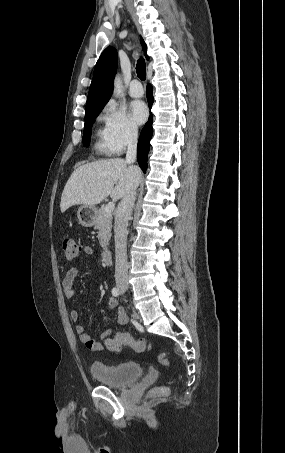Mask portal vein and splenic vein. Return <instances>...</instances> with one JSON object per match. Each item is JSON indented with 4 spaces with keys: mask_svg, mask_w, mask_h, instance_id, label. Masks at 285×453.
Wrapping results in <instances>:
<instances>
[{
    "mask_svg": "<svg viewBox=\"0 0 285 453\" xmlns=\"http://www.w3.org/2000/svg\"><path fill=\"white\" fill-rule=\"evenodd\" d=\"M114 207H115L114 202H109V203L105 206L104 210H105V212H107V213H111V212L114 210Z\"/></svg>",
    "mask_w": 285,
    "mask_h": 453,
    "instance_id": "obj_1",
    "label": "portal vein and splenic vein"
}]
</instances>
